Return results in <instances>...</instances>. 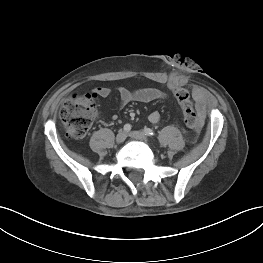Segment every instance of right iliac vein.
Masks as SVG:
<instances>
[{"label": "right iliac vein", "mask_w": 263, "mask_h": 263, "mask_svg": "<svg viewBox=\"0 0 263 263\" xmlns=\"http://www.w3.org/2000/svg\"><path fill=\"white\" fill-rule=\"evenodd\" d=\"M126 139V133L124 131H119L116 136V142L118 144L123 143Z\"/></svg>", "instance_id": "obj_1"}]
</instances>
